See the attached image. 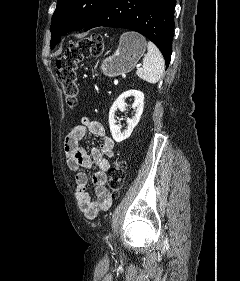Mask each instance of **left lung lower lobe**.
I'll return each instance as SVG.
<instances>
[{"label":"left lung lower lobe","instance_id":"0a47b994","mask_svg":"<svg viewBox=\"0 0 240 281\" xmlns=\"http://www.w3.org/2000/svg\"><path fill=\"white\" fill-rule=\"evenodd\" d=\"M176 0H106L85 31L98 27L126 28L150 39L162 52L166 66L171 58Z\"/></svg>","mask_w":240,"mask_h":281}]
</instances>
